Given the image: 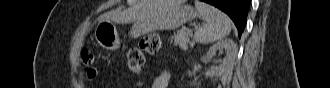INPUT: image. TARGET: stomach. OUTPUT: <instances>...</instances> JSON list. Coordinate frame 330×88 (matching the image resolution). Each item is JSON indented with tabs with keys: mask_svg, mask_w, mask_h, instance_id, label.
Listing matches in <instances>:
<instances>
[{
	"mask_svg": "<svg viewBox=\"0 0 330 88\" xmlns=\"http://www.w3.org/2000/svg\"><path fill=\"white\" fill-rule=\"evenodd\" d=\"M197 11L180 0H157L152 13L136 21L130 30V37L138 38L157 30H175L196 18ZM96 42L103 48L115 50L120 47L117 28L114 23L101 21L95 29Z\"/></svg>",
	"mask_w": 330,
	"mask_h": 88,
	"instance_id": "1",
	"label": "stomach"
}]
</instances>
